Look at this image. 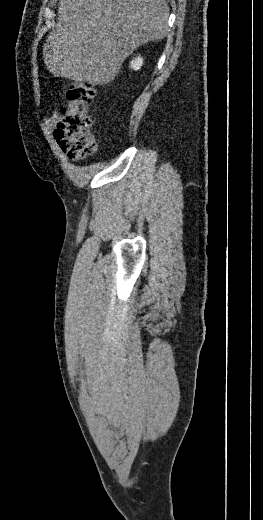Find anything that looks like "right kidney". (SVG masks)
Masks as SVG:
<instances>
[{
  "label": "right kidney",
  "mask_w": 263,
  "mask_h": 520,
  "mask_svg": "<svg viewBox=\"0 0 263 520\" xmlns=\"http://www.w3.org/2000/svg\"><path fill=\"white\" fill-rule=\"evenodd\" d=\"M142 64H143V59L140 56H138L137 58L133 59L130 62V67L133 70H139L141 68Z\"/></svg>",
  "instance_id": "obj_1"
}]
</instances>
